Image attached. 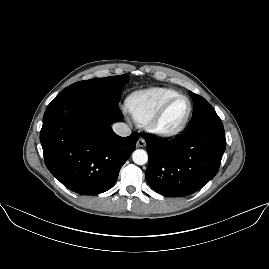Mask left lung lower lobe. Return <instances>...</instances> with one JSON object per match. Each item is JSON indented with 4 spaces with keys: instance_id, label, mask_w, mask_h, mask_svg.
<instances>
[{
    "instance_id": "1",
    "label": "left lung lower lobe",
    "mask_w": 269,
    "mask_h": 269,
    "mask_svg": "<svg viewBox=\"0 0 269 269\" xmlns=\"http://www.w3.org/2000/svg\"><path fill=\"white\" fill-rule=\"evenodd\" d=\"M146 180L159 194L183 197L200 190L218 172L226 148L222 123L206 124L165 142L146 139Z\"/></svg>"
}]
</instances>
